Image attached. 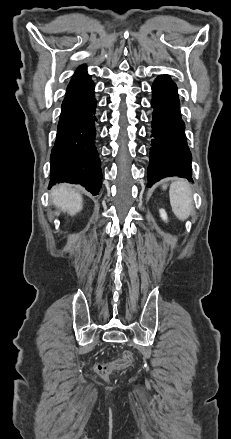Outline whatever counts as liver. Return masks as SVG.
Returning <instances> with one entry per match:
<instances>
[{"label": "liver", "mask_w": 231, "mask_h": 439, "mask_svg": "<svg viewBox=\"0 0 231 439\" xmlns=\"http://www.w3.org/2000/svg\"><path fill=\"white\" fill-rule=\"evenodd\" d=\"M53 204L63 212L74 215L82 209V196L77 188L71 185L59 184L51 190Z\"/></svg>", "instance_id": "1"}]
</instances>
